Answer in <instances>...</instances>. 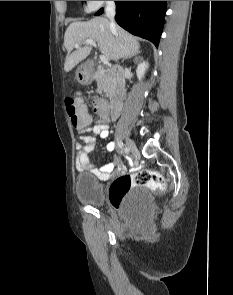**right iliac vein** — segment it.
I'll use <instances>...</instances> for the list:
<instances>
[{"instance_id":"obj_1","label":"right iliac vein","mask_w":233,"mask_h":295,"mask_svg":"<svg viewBox=\"0 0 233 295\" xmlns=\"http://www.w3.org/2000/svg\"><path fill=\"white\" fill-rule=\"evenodd\" d=\"M126 147H128V154H130L132 157H135L137 154V148L135 143L132 140H127Z\"/></svg>"}]
</instances>
